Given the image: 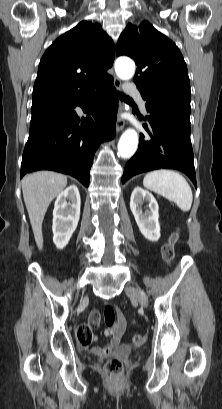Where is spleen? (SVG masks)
Wrapping results in <instances>:
<instances>
[{
	"label": "spleen",
	"instance_id": "spleen-1",
	"mask_svg": "<svg viewBox=\"0 0 222 409\" xmlns=\"http://www.w3.org/2000/svg\"><path fill=\"white\" fill-rule=\"evenodd\" d=\"M143 185L177 204L183 212H188L191 209L192 190L181 174L166 169L155 170L145 175Z\"/></svg>",
	"mask_w": 222,
	"mask_h": 409
}]
</instances>
